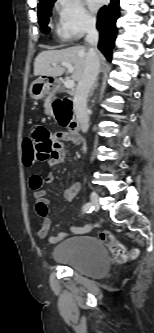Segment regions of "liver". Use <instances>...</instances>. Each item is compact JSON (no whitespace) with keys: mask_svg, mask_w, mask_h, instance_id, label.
I'll list each match as a JSON object with an SVG mask.
<instances>
[{"mask_svg":"<svg viewBox=\"0 0 154 333\" xmlns=\"http://www.w3.org/2000/svg\"><path fill=\"white\" fill-rule=\"evenodd\" d=\"M87 52V48L84 46L43 51L35 59L34 75L50 77L61 76L65 72V67L59 64L67 62L74 66V72L71 76L72 80L79 82L83 76ZM97 55L98 58L103 59L101 54ZM53 63H55L56 66H53Z\"/></svg>","mask_w":154,"mask_h":333,"instance_id":"1","label":"liver"}]
</instances>
